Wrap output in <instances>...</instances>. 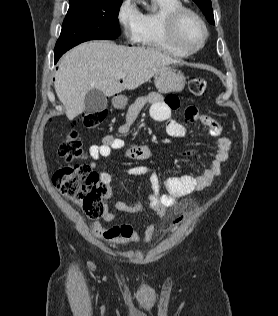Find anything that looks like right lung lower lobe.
<instances>
[{"instance_id":"obj_1","label":"right lung lower lobe","mask_w":278,"mask_h":316,"mask_svg":"<svg viewBox=\"0 0 278 316\" xmlns=\"http://www.w3.org/2000/svg\"><path fill=\"white\" fill-rule=\"evenodd\" d=\"M62 53L55 54V63L58 61V59L61 57Z\"/></svg>"}]
</instances>
